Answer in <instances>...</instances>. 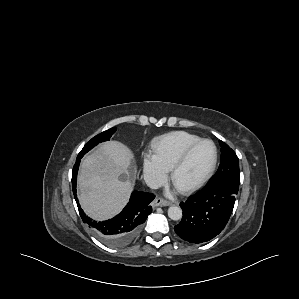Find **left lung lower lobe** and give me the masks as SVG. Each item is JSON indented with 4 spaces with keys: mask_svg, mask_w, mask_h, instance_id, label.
<instances>
[{
    "mask_svg": "<svg viewBox=\"0 0 299 299\" xmlns=\"http://www.w3.org/2000/svg\"><path fill=\"white\" fill-rule=\"evenodd\" d=\"M238 188L228 183L207 184L180 206L181 222L174 227L183 240L203 243L217 236L232 213Z\"/></svg>",
    "mask_w": 299,
    "mask_h": 299,
    "instance_id": "obj_1",
    "label": "left lung lower lobe"
}]
</instances>
